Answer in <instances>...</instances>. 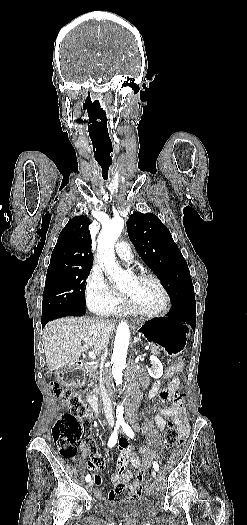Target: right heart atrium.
<instances>
[{
	"label": "right heart atrium",
	"mask_w": 247,
	"mask_h": 525,
	"mask_svg": "<svg viewBox=\"0 0 247 525\" xmlns=\"http://www.w3.org/2000/svg\"><path fill=\"white\" fill-rule=\"evenodd\" d=\"M85 299L88 308L95 314H107L114 307L112 289L98 269H93L87 278Z\"/></svg>",
	"instance_id": "right-heart-atrium-1"
}]
</instances>
